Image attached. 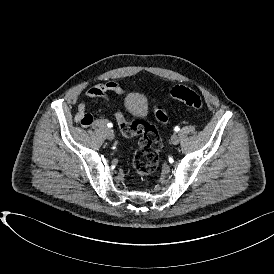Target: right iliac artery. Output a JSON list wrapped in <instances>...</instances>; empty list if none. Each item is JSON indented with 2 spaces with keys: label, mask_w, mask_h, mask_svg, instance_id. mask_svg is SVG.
I'll return each mask as SVG.
<instances>
[{
  "label": "right iliac artery",
  "mask_w": 274,
  "mask_h": 274,
  "mask_svg": "<svg viewBox=\"0 0 274 274\" xmlns=\"http://www.w3.org/2000/svg\"><path fill=\"white\" fill-rule=\"evenodd\" d=\"M107 126L111 128L113 126V124L112 123H108Z\"/></svg>",
  "instance_id": "right-iliac-artery-1"
}]
</instances>
